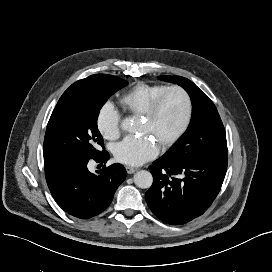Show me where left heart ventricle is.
<instances>
[{
  "label": "left heart ventricle",
  "instance_id": "1",
  "mask_svg": "<svg viewBox=\"0 0 272 272\" xmlns=\"http://www.w3.org/2000/svg\"><path fill=\"white\" fill-rule=\"evenodd\" d=\"M185 115V102L176 91L169 93L154 118L142 123L141 133L161 146L181 125Z\"/></svg>",
  "mask_w": 272,
  "mask_h": 272
}]
</instances>
